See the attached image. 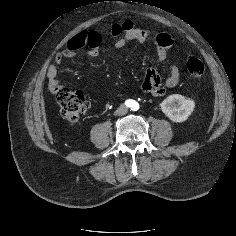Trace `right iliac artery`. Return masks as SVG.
Returning <instances> with one entry per match:
<instances>
[{"label": "right iliac artery", "mask_w": 236, "mask_h": 236, "mask_svg": "<svg viewBox=\"0 0 236 236\" xmlns=\"http://www.w3.org/2000/svg\"><path fill=\"white\" fill-rule=\"evenodd\" d=\"M126 105H127V106H131V105H132V100H127V101H126Z\"/></svg>", "instance_id": "1"}]
</instances>
